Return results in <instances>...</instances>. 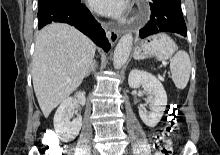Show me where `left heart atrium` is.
I'll use <instances>...</instances> for the list:
<instances>
[{"label":"left heart atrium","instance_id":"obj_1","mask_svg":"<svg viewBox=\"0 0 220 155\" xmlns=\"http://www.w3.org/2000/svg\"><path fill=\"white\" fill-rule=\"evenodd\" d=\"M91 7L107 16H120L128 9L127 0H89Z\"/></svg>","mask_w":220,"mask_h":155}]
</instances>
